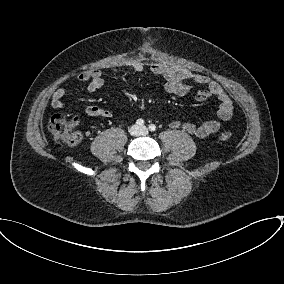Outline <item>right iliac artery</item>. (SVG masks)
<instances>
[{"label":"right iliac artery","instance_id":"82829eb1","mask_svg":"<svg viewBox=\"0 0 284 284\" xmlns=\"http://www.w3.org/2000/svg\"><path fill=\"white\" fill-rule=\"evenodd\" d=\"M136 124L139 125V126H143L144 125V120L143 119H138L136 121Z\"/></svg>","mask_w":284,"mask_h":284}]
</instances>
